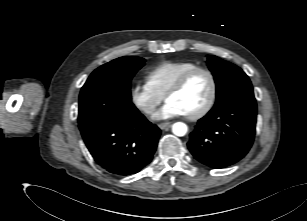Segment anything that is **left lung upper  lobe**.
Here are the masks:
<instances>
[{
    "label": "left lung upper lobe",
    "instance_id": "5c2ea615",
    "mask_svg": "<svg viewBox=\"0 0 307 221\" xmlns=\"http://www.w3.org/2000/svg\"><path fill=\"white\" fill-rule=\"evenodd\" d=\"M208 66L216 83L217 108L228 101L241 97H254L248 76L237 66L216 56H208Z\"/></svg>",
    "mask_w": 307,
    "mask_h": 221
}]
</instances>
